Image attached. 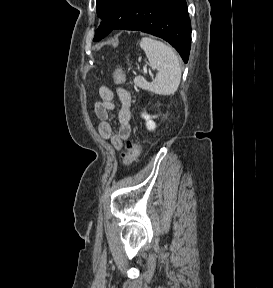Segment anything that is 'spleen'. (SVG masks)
Masks as SVG:
<instances>
[{
	"label": "spleen",
	"mask_w": 273,
	"mask_h": 288,
	"mask_svg": "<svg viewBox=\"0 0 273 288\" xmlns=\"http://www.w3.org/2000/svg\"><path fill=\"white\" fill-rule=\"evenodd\" d=\"M140 47L144 50L152 69L158 70V73L152 82H147L141 76L135 77V85L155 94L173 95L181 81L179 58L173 48L149 37L141 39Z\"/></svg>",
	"instance_id": "spleen-1"
}]
</instances>
